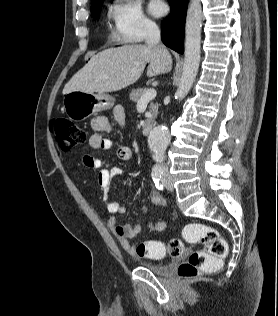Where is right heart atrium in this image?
<instances>
[{
    "label": "right heart atrium",
    "instance_id": "obj_1",
    "mask_svg": "<svg viewBox=\"0 0 278 316\" xmlns=\"http://www.w3.org/2000/svg\"><path fill=\"white\" fill-rule=\"evenodd\" d=\"M108 18L113 39L121 43L140 42L157 28L156 22L133 0H113Z\"/></svg>",
    "mask_w": 278,
    "mask_h": 316
}]
</instances>
